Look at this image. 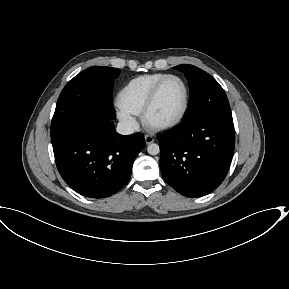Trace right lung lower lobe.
Here are the masks:
<instances>
[{"label": "right lung lower lobe", "mask_w": 289, "mask_h": 289, "mask_svg": "<svg viewBox=\"0 0 289 289\" xmlns=\"http://www.w3.org/2000/svg\"><path fill=\"white\" fill-rule=\"evenodd\" d=\"M52 145L64 181L83 196L104 198L129 181L145 140L139 133L119 135L112 120L91 115L53 139Z\"/></svg>", "instance_id": "obj_1"}]
</instances>
